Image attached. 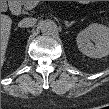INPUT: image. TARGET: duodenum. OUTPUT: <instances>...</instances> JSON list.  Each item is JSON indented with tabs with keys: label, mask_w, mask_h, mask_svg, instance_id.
Listing matches in <instances>:
<instances>
[{
	"label": "duodenum",
	"mask_w": 109,
	"mask_h": 109,
	"mask_svg": "<svg viewBox=\"0 0 109 109\" xmlns=\"http://www.w3.org/2000/svg\"><path fill=\"white\" fill-rule=\"evenodd\" d=\"M17 8H18V5H16V4H11V9L15 10V9H17Z\"/></svg>",
	"instance_id": "1"
}]
</instances>
